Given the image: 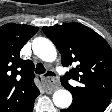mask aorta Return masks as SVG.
Returning a JSON list of instances; mask_svg holds the SVG:
<instances>
[{
	"mask_svg": "<svg viewBox=\"0 0 112 112\" xmlns=\"http://www.w3.org/2000/svg\"><path fill=\"white\" fill-rule=\"evenodd\" d=\"M32 49L34 54L45 62H53L57 57L54 44L44 37L35 38L33 40ZM53 102L59 108H68L72 103V95L65 89L57 90L53 94Z\"/></svg>",
	"mask_w": 112,
	"mask_h": 112,
	"instance_id": "aorta-1",
	"label": "aorta"
}]
</instances>
